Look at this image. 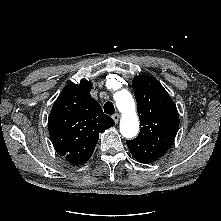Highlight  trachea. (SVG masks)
Returning <instances> with one entry per match:
<instances>
[{
	"instance_id": "obj_1",
	"label": "trachea",
	"mask_w": 221,
	"mask_h": 221,
	"mask_svg": "<svg viewBox=\"0 0 221 221\" xmlns=\"http://www.w3.org/2000/svg\"><path fill=\"white\" fill-rule=\"evenodd\" d=\"M104 112L109 115L115 113V108L112 102L108 101L104 104Z\"/></svg>"
}]
</instances>
